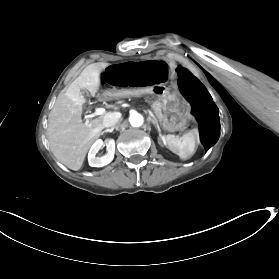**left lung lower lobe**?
<instances>
[{
    "mask_svg": "<svg viewBox=\"0 0 279 279\" xmlns=\"http://www.w3.org/2000/svg\"><path fill=\"white\" fill-rule=\"evenodd\" d=\"M178 86L190 102L192 113L199 122L200 138L206 150L212 147L220 136L218 108L201 82L182 67L177 68Z\"/></svg>",
    "mask_w": 279,
    "mask_h": 279,
    "instance_id": "left-lung-lower-lobe-1",
    "label": "left lung lower lobe"
}]
</instances>
